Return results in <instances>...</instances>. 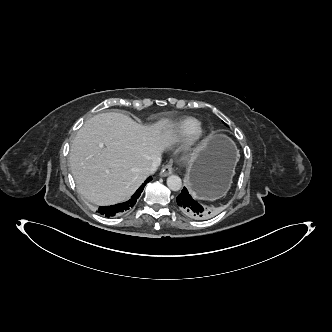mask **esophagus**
Returning a JSON list of instances; mask_svg holds the SVG:
<instances>
[{
	"instance_id": "esophagus-1",
	"label": "esophagus",
	"mask_w": 332,
	"mask_h": 332,
	"mask_svg": "<svg viewBox=\"0 0 332 332\" xmlns=\"http://www.w3.org/2000/svg\"><path fill=\"white\" fill-rule=\"evenodd\" d=\"M173 171H174V169H173L172 165L171 164H166L162 167L161 172H160V176L166 177V176L172 174Z\"/></svg>"
}]
</instances>
